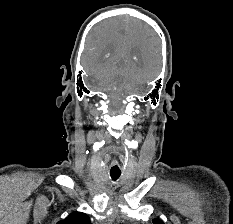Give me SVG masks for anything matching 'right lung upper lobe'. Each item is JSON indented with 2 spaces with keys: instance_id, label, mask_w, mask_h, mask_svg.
Wrapping results in <instances>:
<instances>
[{
  "instance_id": "cb5924a9",
  "label": "right lung upper lobe",
  "mask_w": 233,
  "mask_h": 224,
  "mask_svg": "<svg viewBox=\"0 0 233 224\" xmlns=\"http://www.w3.org/2000/svg\"><path fill=\"white\" fill-rule=\"evenodd\" d=\"M57 224H91L88 215L82 212H73L66 219Z\"/></svg>"
}]
</instances>
